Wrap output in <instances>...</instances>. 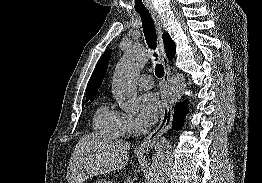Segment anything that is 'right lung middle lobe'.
Instances as JSON below:
<instances>
[{
	"label": "right lung middle lobe",
	"mask_w": 262,
	"mask_h": 183,
	"mask_svg": "<svg viewBox=\"0 0 262 183\" xmlns=\"http://www.w3.org/2000/svg\"><path fill=\"white\" fill-rule=\"evenodd\" d=\"M87 101L89 100V99H86ZM91 101L93 100V99H90Z\"/></svg>",
	"instance_id": "1"
}]
</instances>
